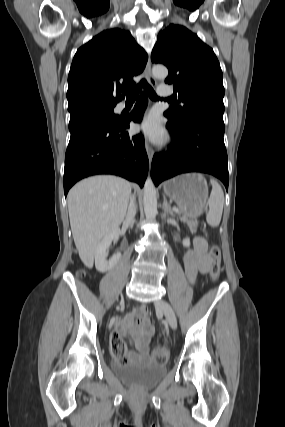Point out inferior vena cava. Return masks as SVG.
Returning a JSON list of instances; mask_svg holds the SVG:
<instances>
[{
  "label": "inferior vena cava",
  "instance_id": "1",
  "mask_svg": "<svg viewBox=\"0 0 285 427\" xmlns=\"http://www.w3.org/2000/svg\"><path fill=\"white\" fill-rule=\"evenodd\" d=\"M135 199L134 196L130 198V204L128 207V212L126 215V219L125 222L132 225L134 223V218H135V214H136V207H135V203H134Z\"/></svg>",
  "mask_w": 285,
  "mask_h": 427
}]
</instances>
